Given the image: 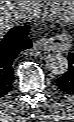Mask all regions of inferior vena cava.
Listing matches in <instances>:
<instances>
[{"instance_id": "inferior-vena-cava-1", "label": "inferior vena cava", "mask_w": 74, "mask_h": 122, "mask_svg": "<svg viewBox=\"0 0 74 122\" xmlns=\"http://www.w3.org/2000/svg\"><path fill=\"white\" fill-rule=\"evenodd\" d=\"M37 15V6L32 3L26 6H23L20 10V17L19 19L23 21L30 20Z\"/></svg>"}]
</instances>
